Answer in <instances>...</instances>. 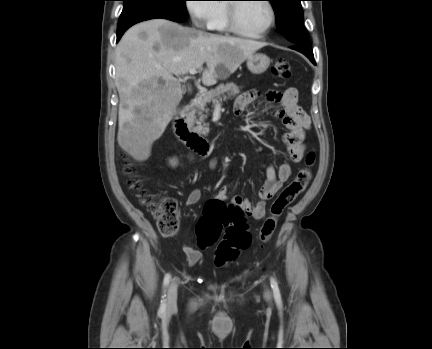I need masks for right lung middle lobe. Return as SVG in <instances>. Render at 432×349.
I'll return each mask as SVG.
<instances>
[{
  "label": "right lung middle lobe",
  "instance_id": "1",
  "mask_svg": "<svg viewBox=\"0 0 432 349\" xmlns=\"http://www.w3.org/2000/svg\"><path fill=\"white\" fill-rule=\"evenodd\" d=\"M124 6L119 26L143 19L164 18L175 22L186 20V0H122Z\"/></svg>",
  "mask_w": 432,
  "mask_h": 349
}]
</instances>
